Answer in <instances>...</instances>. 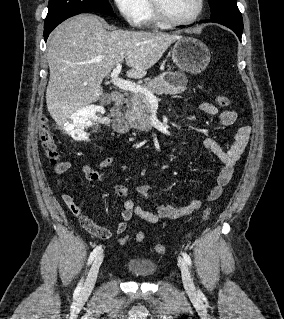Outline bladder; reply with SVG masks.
<instances>
[{
  "mask_svg": "<svg viewBox=\"0 0 284 319\" xmlns=\"http://www.w3.org/2000/svg\"><path fill=\"white\" fill-rule=\"evenodd\" d=\"M126 268L132 275L140 278H150L157 272V264L154 261L138 257L129 258Z\"/></svg>",
  "mask_w": 284,
  "mask_h": 319,
  "instance_id": "obj_1",
  "label": "bladder"
}]
</instances>
